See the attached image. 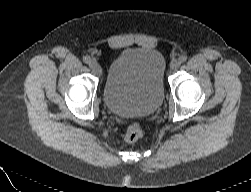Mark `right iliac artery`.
Wrapping results in <instances>:
<instances>
[{"mask_svg":"<svg viewBox=\"0 0 251 192\" xmlns=\"http://www.w3.org/2000/svg\"><path fill=\"white\" fill-rule=\"evenodd\" d=\"M83 62L86 64H89L91 62V58L89 56H84L83 57Z\"/></svg>","mask_w":251,"mask_h":192,"instance_id":"right-iliac-artery-1","label":"right iliac artery"}]
</instances>
